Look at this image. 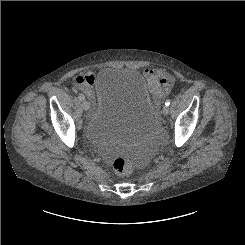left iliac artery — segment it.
<instances>
[{
	"label": "left iliac artery",
	"mask_w": 245,
	"mask_h": 245,
	"mask_svg": "<svg viewBox=\"0 0 245 245\" xmlns=\"http://www.w3.org/2000/svg\"><path fill=\"white\" fill-rule=\"evenodd\" d=\"M170 102H171V101H170L169 99H167V100L165 101V105H166V106H169V105H170Z\"/></svg>",
	"instance_id": "obj_1"
}]
</instances>
